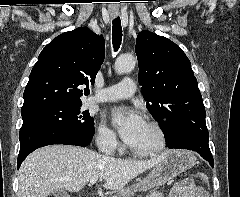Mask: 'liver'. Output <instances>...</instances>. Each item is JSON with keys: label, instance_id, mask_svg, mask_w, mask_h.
<instances>
[{"label": "liver", "instance_id": "obj_1", "mask_svg": "<svg viewBox=\"0 0 240 197\" xmlns=\"http://www.w3.org/2000/svg\"><path fill=\"white\" fill-rule=\"evenodd\" d=\"M165 157L150 160L118 159L88 148L45 146L32 152L19 169L18 197H48L52 192H78L92 178L105 179L104 188L123 191L124 186Z\"/></svg>", "mask_w": 240, "mask_h": 197}]
</instances>
